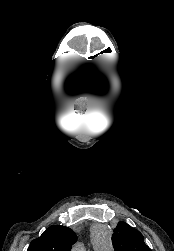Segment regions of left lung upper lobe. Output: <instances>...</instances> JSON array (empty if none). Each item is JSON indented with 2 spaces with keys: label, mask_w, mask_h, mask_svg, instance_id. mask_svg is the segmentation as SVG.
<instances>
[{
  "label": "left lung upper lobe",
  "mask_w": 174,
  "mask_h": 251,
  "mask_svg": "<svg viewBox=\"0 0 174 251\" xmlns=\"http://www.w3.org/2000/svg\"><path fill=\"white\" fill-rule=\"evenodd\" d=\"M115 251H151L142 234L125 222H119L112 235Z\"/></svg>",
  "instance_id": "obj_1"
}]
</instances>
